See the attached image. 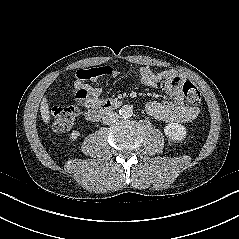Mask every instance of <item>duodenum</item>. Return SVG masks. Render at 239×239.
Instances as JSON below:
<instances>
[{
  "mask_svg": "<svg viewBox=\"0 0 239 239\" xmlns=\"http://www.w3.org/2000/svg\"><path fill=\"white\" fill-rule=\"evenodd\" d=\"M120 106L117 100H104L97 107L86 112L85 117L89 122H97L109 111Z\"/></svg>",
  "mask_w": 239,
  "mask_h": 239,
  "instance_id": "1",
  "label": "duodenum"
}]
</instances>
